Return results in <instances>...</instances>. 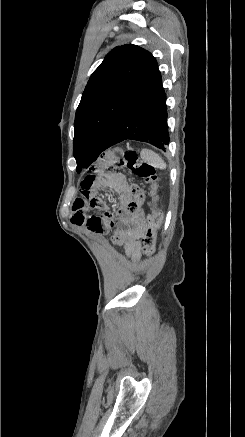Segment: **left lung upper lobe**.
Wrapping results in <instances>:
<instances>
[{
    "mask_svg": "<svg viewBox=\"0 0 245 437\" xmlns=\"http://www.w3.org/2000/svg\"><path fill=\"white\" fill-rule=\"evenodd\" d=\"M155 64L150 52L127 44L110 51L93 72L74 121L73 155L78 173L99 157L121 111Z\"/></svg>",
    "mask_w": 245,
    "mask_h": 437,
    "instance_id": "1",
    "label": "left lung upper lobe"
}]
</instances>
